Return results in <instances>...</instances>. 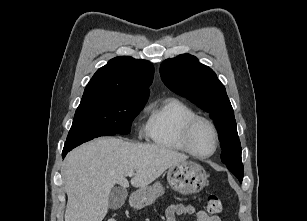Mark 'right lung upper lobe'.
Masks as SVG:
<instances>
[{
	"label": "right lung upper lobe",
	"instance_id": "obj_1",
	"mask_svg": "<svg viewBox=\"0 0 307 221\" xmlns=\"http://www.w3.org/2000/svg\"><path fill=\"white\" fill-rule=\"evenodd\" d=\"M154 66L129 56L115 57L99 68L85 88L81 102L107 96L148 99Z\"/></svg>",
	"mask_w": 307,
	"mask_h": 221
}]
</instances>
